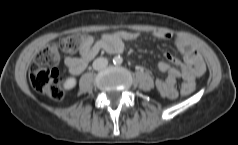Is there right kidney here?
I'll return each mask as SVG.
<instances>
[{
	"label": "right kidney",
	"mask_w": 238,
	"mask_h": 145,
	"mask_svg": "<svg viewBox=\"0 0 238 145\" xmlns=\"http://www.w3.org/2000/svg\"><path fill=\"white\" fill-rule=\"evenodd\" d=\"M76 86V78L75 77H69L65 80L63 87L66 90H70Z\"/></svg>",
	"instance_id": "right-kidney-1"
}]
</instances>
